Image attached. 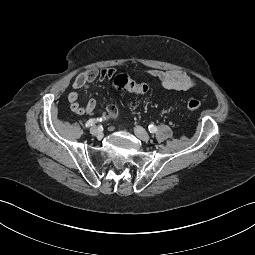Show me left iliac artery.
I'll return each instance as SVG.
<instances>
[{"instance_id":"obj_1","label":"left iliac artery","mask_w":255,"mask_h":255,"mask_svg":"<svg viewBox=\"0 0 255 255\" xmlns=\"http://www.w3.org/2000/svg\"><path fill=\"white\" fill-rule=\"evenodd\" d=\"M148 129H149L150 133H156V131H157V127L154 126V125H150V126L148 127Z\"/></svg>"}]
</instances>
